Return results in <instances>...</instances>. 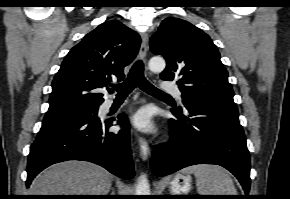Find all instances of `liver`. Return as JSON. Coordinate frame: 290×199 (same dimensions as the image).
Wrapping results in <instances>:
<instances>
[{"label":"liver","mask_w":290,"mask_h":199,"mask_svg":"<svg viewBox=\"0 0 290 199\" xmlns=\"http://www.w3.org/2000/svg\"><path fill=\"white\" fill-rule=\"evenodd\" d=\"M112 175L84 161H65L39 174L30 186L31 195H108Z\"/></svg>","instance_id":"liver-1"}]
</instances>
